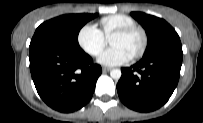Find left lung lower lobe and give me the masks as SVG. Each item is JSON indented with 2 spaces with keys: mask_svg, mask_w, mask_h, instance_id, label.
<instances>
[{
  "mask_svg": "<svg viewBox=\"0 0 203 123\" xmlns=\"http://www.w3.org/2000/svg\"><path fill=\"white\" fill-rule=\"evenodd\" d=\"M182 59V47L173 46L144 56L131 67L122 68L117 84L120 100L139 112L160 108L178 84Z\"/></svg>",
  "mask_w": 203,
  "mask_h": 123,
  "instance_id": "1",
  "label": "left lung lower lobe"
}]
</instances>
